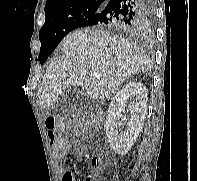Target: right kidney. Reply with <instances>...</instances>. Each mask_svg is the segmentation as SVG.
<instances>
[{
  "label": "right kidney",
  "mask_w": 197,
  "mask_h": 181,
  "mask_svg": "<svg viewBox=\"0 0 197 181\" xmlns=\"http://www.w3.org/2000/svg\"><path fill=\"white\" fill-rule=\"evenodd\" d=\"M128 100H130L129 105ZM125 110L131 113V118L125 131L118 132L122 124ZM147 110V90L141 82L126 83L112 98L105 122L106 136L109 146L120 155H125L140 132L144 124Z\"/></svg>",
  "instance_id": "ca27d5eb"
}]
</instances>
